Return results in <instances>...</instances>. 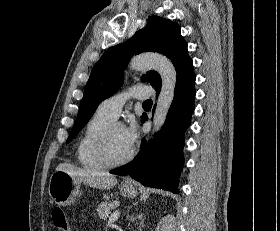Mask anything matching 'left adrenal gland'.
I'll return each mask as SVG.
<instances>
[{
	"label": "left adrenal gland",
	"mask_w": 280,
	"mask_h": 231,
	"mask_svg": "<svg viewBox=\"0 0 280 231\" xmlns=\"http://www.w3.org/2000/svg\"><path fill=\"white\" fill-rule=\"evenodd\" d=\"M130 221H134V217H132V215H131V219H130Z\"/></svg>",
	"instance_id": "a2214340"
}]
</instances>
